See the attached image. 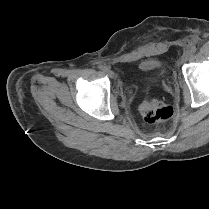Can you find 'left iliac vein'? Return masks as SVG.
Masks as SVG:
<instances>
[{"instance_id":"left-iliac-vein-1","label":"left iliac vein","mask_w":209,"mask_h":209,"mask_svg":"<svg viewBox=\"0 0 209 209\" xmlns=\"http://www.w3.org/2000/svg\"><path fill=\"white\" fill-rule=\"evenodd\" d=\"M189 57H190V52L189 51L184 52L183 55H182V57H181L182 63L187 62L188 59H189Z\"/></svg>"}]
</instances>
